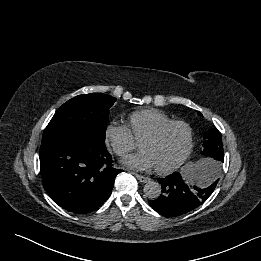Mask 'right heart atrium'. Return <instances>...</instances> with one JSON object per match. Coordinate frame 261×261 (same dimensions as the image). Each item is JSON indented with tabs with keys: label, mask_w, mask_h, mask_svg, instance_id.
Listing matches in <instances>:
<instances>
[{
	"label": "right heart atrium",
	"mask_w": 261,
	"mask_h": 261,
	"mask_svg": "<svg viewBox=\"0 0 261 261\" xmlns=\"http://www.w3.org/2000/svg\"><path fill=\"white\" fill-rule=\"evenodd\" d=\"M106 144L118 156L123 157L137 146V141L128 127L109 123L104 131Z\"/></svg>",
	"instance_id": "right-heart-atrium-1"
}]
</instances>
